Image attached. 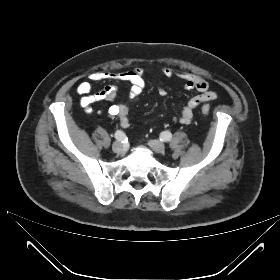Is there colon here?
<instances>
[{
  "label": "colon",
  "mask_w": 280,
  "mask_h": 280,
  "mask_svg": "<svg viewBox=\"0 0 280 280\" xmlns=\"http://www.w3.org/2000/svg\"><path fill=\"white\" fill-rule=\"evenodd\" d=\"M201 112H202L203 114H208V113L210 112V108L207 107V106H203V107L201 108Z\"/></svg>",
  "instance_id": "colon-1"
}]
</instances>
